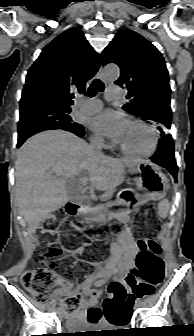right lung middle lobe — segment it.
I'll list each match as a JSON object with an SVG mask.
<instances>
[{
  "label": "right lung middle lobe",
  "mask_w": 194,
  "mask_h": 336,
  "mask_svg": "<svg viewBox=\"0 0 194 336\" xmlns=\"http://www.w3.org/2000/svg\"><path fill=\"white\" fill-rule=\"evenodd\" d=\"M70 112L58 110L41 111L30 118L19 120L18 139L30 137L49 129H63L70 132L83 131L82 125L72 120Z\"/></svg>",
  "instance_id": "right-lung-middle-lobe-1"
}]
</instances>
